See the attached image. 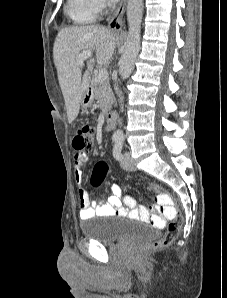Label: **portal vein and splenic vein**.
Masks as SVG:
<instances>
[{
  "label": "portal vein and splenic vein",
  "mask_w": 227,
  "mask_h": 298,
  "mask_svg": "<svg viewBox=\"0 0 227 298\" xmlns=\"http://www.w3.org/2000/svg\"><path fill=\"white\" fill-rule=\"evenodd\" d=\"M92 57V52L91 51H84L81 54L78 55L76 59V63L79 66H82L84 61L88 58ZM108 78V72L105 68L99 69V72L96 76V80L98 82H103Z\"/></svg>",
  "instance_id": "obj_1"
}]
</instances>
